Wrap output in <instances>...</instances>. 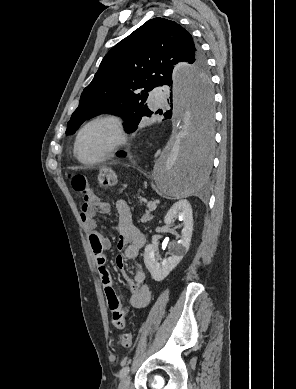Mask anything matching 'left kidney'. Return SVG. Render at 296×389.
Instances as JSON below:
<instances>
[{"mask_svg":"<svg viewBox=\"0 0 296 389\" xmlns=\"http://www.w3.org/2000/svg\"><path fill=\"white\" fill-rule=\"evenodd\" d=\"M175 219L183 222L181 239L172 244L170 256L161 259L158 247L154 244L146 246L144 251V263L155 281H162L180 263L188 252L193 232V215L190 203L187 200H179L167 212L164 217L166 225H171Z\"/></svg>","mask_w":296,"mask_h":389,"instance_id":"left-kidney-1","label":"left kidney"}]
</instances>
